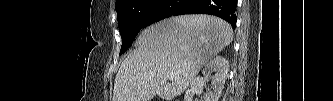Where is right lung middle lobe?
Listing matches in <instances>:
<instances>
[{
  "mask_svg": "<svg viewBox=\"0 0 333 101\" xmlns=\"http://www.w3.org/2000/svg\"><path fill=\"white\" fill-rule=\"evenodd\" d=\"M163 0H119L116 2L118 25L122 37L120 55L132 44Z\"/></svg>",
  "mask_w": 333,
  "mask_h": 101,
  "instance_id": "right-lung-middle-lobe-1",
  "label": "right lung middle lobe"
}]
</instances>
